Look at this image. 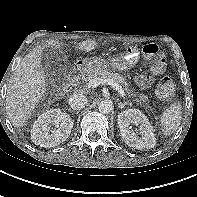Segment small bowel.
Instances as JSON below:
<instances>
[{
    "instance_id": "small-bowel-1",
    "label": "small bowel",
    "mask_w": 197,
    "mask_h": 197,
    "mask_svg": "<svg viewBox=\"0 0 197 197\" xmlns=\"http://www.w3.org/2000/svg\"><path fill=\"white\" fill-rule=\"evenodd\" d=\"M152 83H153V80L149 76L143 75L137 78V84L140 87L147 88V87H150Z\"/></svg>"
}]
</instances>
